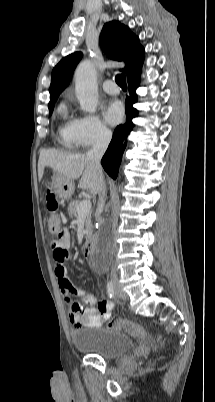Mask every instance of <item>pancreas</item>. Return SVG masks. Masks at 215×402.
<instances>
[{"label":"pancreas","instance_id":"pancreas-1","mask_svg":"<svg viewBox=\"0 0 215 402\" xmlns=\"http://www.w3.org/2000/svg\"><path fill=\"white\" fill-rule=\"evenodd\" d=\"M81 202L79 200H73L69 203L68 206V213L70 217H77V208L79 206ZM85 234H86V238H89V236H91L92 234V222H91V212H89L88 214L85 215Z\"/></svg>","mask_w":215,"mask_h":402}]
</instances>
